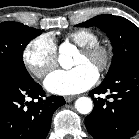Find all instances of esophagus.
Returning a JSON list of instances; mask_svg holds the SVG:
<instances>
[{"mask_svg":"<svg viewBox=\"0 0 139 139\" xmlns=\"http://www.w3.org/2000/svg\"><path fill=\"white\" fill-rule=\"evenodd\" d=\"M75 98H76L75 96H66L65 101L69 103V102L73 101Z\"/></svg>","mask_w":139,"mask_h":139,"instance_id":"1","label":"esophagus"}]
</instances>
